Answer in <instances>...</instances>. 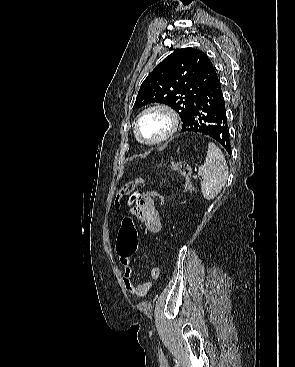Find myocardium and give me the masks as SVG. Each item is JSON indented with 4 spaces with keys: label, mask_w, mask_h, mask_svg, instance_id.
<instances>
[{
    "label": "myocardium",
    "mask_w": 295,
    "mask_h": 367,
    "mask_svg": "<svg viewBox=\"0 0 295 367\" xmlns=\"http://www.w3.org/2000/svg\"><path fill=\"white\" fill-rule=\"evenodd\" d=\"M152 112L163 113L169 121V128L161 137L154 139V140H147L141 136L140 131H139V124L143 117H145L147 114L152 113ZM178 127H179L178 115L171 107L164 105V104H154V105L146 107L138 114L134 122V133H135L136 138L141 143L150 145V146H154V145L162 144L168 141L169 139H171L174 136V134L177 132Z\"/></svg>",
    "instance_id": "obj_1"
}]
</instances>
